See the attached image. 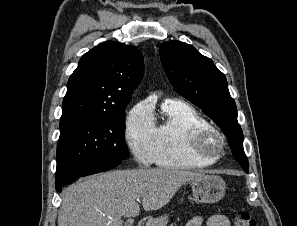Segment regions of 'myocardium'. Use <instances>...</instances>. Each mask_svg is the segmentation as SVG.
Returning <instances> with one entry per match:
<instances>
[{"label": "myocardium", "instance_id": "obj_1", "mask_svg": "<svg viewBox=\"0 0 297 226\" xmlns=\"http://www.w3.org/2000/svg\"><path fill=\"white\" fill-rule=\"evenodd\" d=\"M189 147L194 156L214 162L225 147V138L218 128L208 125L197 128L192 133L189 139Z\"/></svg>", "mask_w": 297, "mask_h": 226}]
</instances>
